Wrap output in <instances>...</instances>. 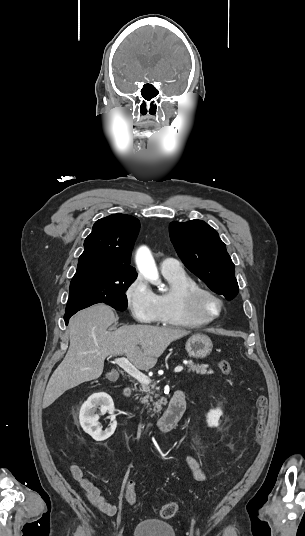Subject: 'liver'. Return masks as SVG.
Instances as JSON below:
<instances>
[{"instance_id":"liver-1","label":"liver","mask_w":305,"mask_h":536,"mask_svg":"<svg viewBox=\"0 0 305 536\" xmlns=\"http://www.w3.org/2000/svg\"><path fill=\"white\" fill-rule=\"evenodd\" d=\"M114 322L115 314L105 304H95L71 318L69 350L47 384L43 408L51 406L66 390L100 378L107 356H127L138 370H151L171 342L190 334L182 328L141 324L107 332Z\"/></svg>"}]
</instances>
